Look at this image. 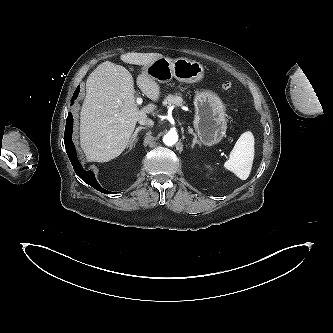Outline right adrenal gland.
I'll use <instances>...</instances> for the list:
<instances>
[{
  "label": "right adrenal gland",
  "mask_w": 333,
  "mask_h": 333,
  "mask_svg": "<svg viewBox=\"0 0 333 333\" xmlns=\"http://www.w3.org/2000/svg\"><path fill=\"white\" fill-rule=\"evenodd\" d=\"M142 129H145V127L138 126V127L135 129L134 133L132 134V136H131V138H130V140H129L128 146H127V148H128L129 150H131L132 147L135 145V143H136V141H137V139H138V138H137V136H138V132L141 131Z\"/></svg>",
  "instance_id": "2a0ac1e0"
}]
</instances>
